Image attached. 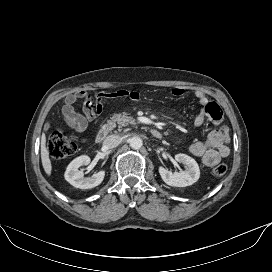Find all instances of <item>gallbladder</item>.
Listing matches in <instances>:
<instances>
[{"mask_svg": "<svg viewBox=\"0 0 272 272\" xmlns=\"http://www.w3.org/2000/svg\"><path fill=\"white\" fill-rule=\"evenodd\" d=\"M45 128H46V130H48V129L50 128V124L47 123V124L45 125Z\"/></svg>", "mask_w": 272, "mask_h": 272, "instance_id": "1", "label": "gallbladder"}]
</instances>
